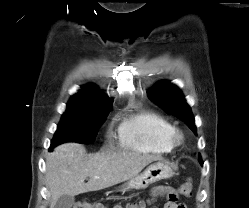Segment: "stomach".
<instances>
[{"label":"stomach","mask_w":249,"mask_h":208,"mask_svg":"<svg viewBox=\"0 0 249 208\" xmlns=\"http://www.w3.org/2000/svg\"><path fill=\"white\" fill-rule=\"evenodd\" d=\"M174 175L173 170L164 162H156L148 166L141 174L130 179L122 186V191L146 189L149 185L170 178Z\"/></svg>","instance_id":"1"}]
</instances>
